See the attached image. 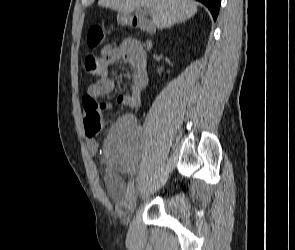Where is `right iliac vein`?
<instances>
[{"label": "right iliac vein", "mask_w": 295, "mask_h": 250, "mask_svg": "<svg viewBox=\"0 0 295 250\" xmlns=\"http://www.w3.org/2000/svg\"><path fill=\"white\" fill-rule=\"evenodd\" d=\"M136 201H137V196H136V193L133 191L129 195L128 200H127V216H126V218L124 220V225L125 226H127L129 221H130L131 212H132L133 207L136 204Z\"/></svg>", "instance_id": "1"}]
</instances>
